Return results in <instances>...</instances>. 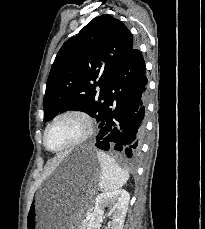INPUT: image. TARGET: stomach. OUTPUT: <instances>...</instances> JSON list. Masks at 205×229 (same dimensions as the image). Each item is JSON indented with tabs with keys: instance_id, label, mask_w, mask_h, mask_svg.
Returning <instances> with one entry per match:
<instances>
[{
	"instance_id": "stomach-1",
	"label": "stomach",
	"mask_w": 205,
	"mask_h": 229,
	"mask_svg": "<svg viewBox=\"0 0 205 229\" xmlns=\"http://www.w3.org/2000/svg\"><path fill=\"white\" fill-rule=\"evenodd\" d=\"M65 176L77 189L75 196L38 195L29 205L25 229H82V219L101 176L94 150L75 148L68 152ZM68 178V179H69Z\"/></svg>"
}]
</instances>
